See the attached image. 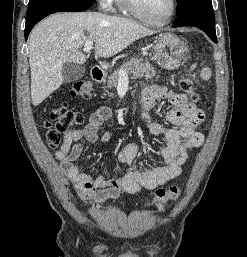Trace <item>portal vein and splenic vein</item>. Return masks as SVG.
Masks as SVG:
<instances>
[{"instance_id":"portal-vein-and-splenic-vein-1","label":"portal vein and splenic vein","mask_w":247,"mask_h":257,"mask_svg":"<svg viewBox=\"0 0 247 257\" xmlns=\"http://www.w3.org/2000/svg\"><path fill=\"white\" fill-rule=\"evenodd\" d=\"M93 47V41H86L84 44L83 51L90 52ZM119 80L128 82V74L124 70L118 71Z\"/></svg>"}]
</instances>
